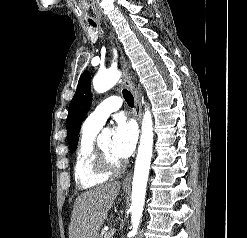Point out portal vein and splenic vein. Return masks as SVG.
I'll return each mask as SVG.
<instances>
[{
  "instance_id": "18ae733b",
  "label": "portal vein and splenic vein",
  "mask_w": 247,
  "mask_h": 238,
  "mask_svg": "<svg viewBox=\"0 0 247 238\" xmlns=\"http://www.w3.org/2000/svg\"><path fill=\"white\" fill-rule=\"evenodd\" d=\"M110 232L112 233V235L116 232V229L115 228H113V229H111L110 230Z\"/></svg>"
}]
</instances>
